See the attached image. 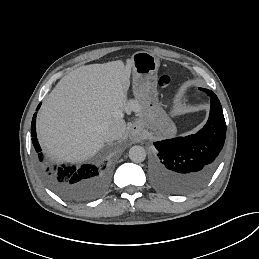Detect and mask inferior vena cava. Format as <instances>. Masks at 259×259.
Wrapping results in <instances>:
<instances>
[{
	"label": "inferior vena cava",
	"instance_id": "inferior-vena-cava-1",
	"mask_svg": "<svg viewBox=\"0 0 259 259\" xmlns=\"http://www.w3.org/2000/svg\"><path fill=\"white\" fill-rule=\"evenodd\" d=\"M126 124L120 118L104 121L99 126V132L106 140H119L125 135Z\"/></svg>",
	"mask_w": 259,
	"mask_h": 259
}]
</instances>
